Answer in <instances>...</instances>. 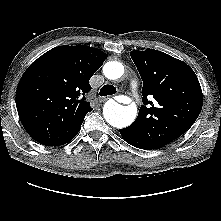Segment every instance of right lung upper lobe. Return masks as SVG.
Wrapping results in <instances>:
<instances>
[{
  "mask_svg": "<svg viewBox=\"0 0 221 221\" xmlns=\"http://www.w3.org/2000/svg\"><path fill=\"white\" fill-rule=\"evenodd\" d=\"M107 55L89 46H59L34 61L16 91L19 118L27 133L46 146H60L79 132L93 110L85 95L90 78Z\"/></svg>",
  "mask_w": 221,
  "mask_h": 221,
  "instance_id": "1",
  "label": "right lung upper lobe"
}]
</instances>
